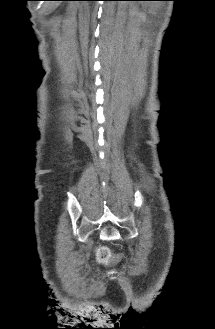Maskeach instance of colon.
<instances>
[{
  "label": "colon",
  "mask_w": 215,
  "mask_h": 329,
  "mask_svg": "<svg viewBox=\"0 0 215 329\" xmlns=\"http://www.w3.org/2000/svg\"><path fill=\"white\" fill-rule=\"evenodd\" d=\"M96 255H97V260L99 262H106V261H108L109 256H110L108 249L105 248V247L99 248L97 250V254Z\"/></svg>",
  "instance_id": "5ec220e1"
}]
</instances>
